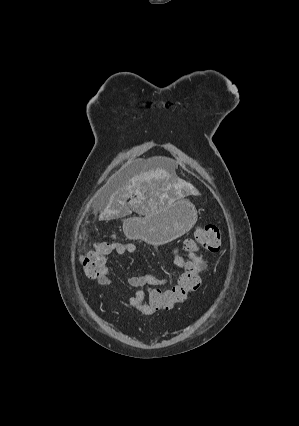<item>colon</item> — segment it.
<instances>
[{"instance_id":"obj_1","label":"colon","mask_w":299,"mask_h":426,"mask_svg":"<svg viewBox=\"0 0 299 426\" xmlns=\"http://www.w3.org/2000/svg\"><path fill=\"white\" fill-rule=\"evenodd\" d=\"M110 243L97 242L94 248L80 256L79 261L84 273L91 278H97L102 271L106 256L109 254ZM221 248V234L214 224L199 225L192 237L185 240L184 249L187 253H197L200 250L217 253ZM200 269L193 261L186 262L177 283L167 287L149 286L145 290L148 303L156 310H170L185 302L189 294L200 286Z\"/></svg>"}]
</instances>
